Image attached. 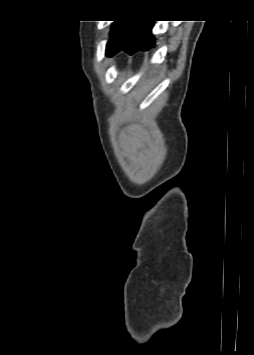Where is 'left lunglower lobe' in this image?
<instances>
[{
	"mask_svg": "<svg viewBox=\"0 0 254 355\" xmlns=\"http://www.w3.org/2000/svg\"><path fill=\"white\" fill-rule=\"evenodd\" d=\"M153 24V21H130L125 27L122 36L115 44L112 55L120 50L133 54L140 49L148 50L152 47L155 44L154 37L151 34Z\"/></svg>",
	"mask_w": 254,
	"mask_h": 355,
	"instance_id": "obj_1",
	"label": "left lung lower lobe"
}]
</instances>
